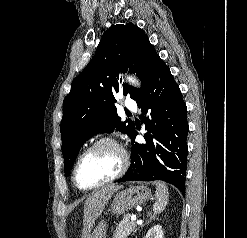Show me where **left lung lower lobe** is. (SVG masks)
<instances>
[{
	"label": "left lung lower lobe",
	"mask_w": 247,
	"mask_h": 238,
	"mask_svg": "<svg viewBox=\"0 0 247 238\" xmlns=\"http://www.w3.org/2000/svg\"><path fill=\"white\" fill-rule=\"evenodd\" d=\"M136 102L143 114L148 110L150 112L148 117H143L148 131L144 134L146 143L135 142V128L130 136L131 165L118 182L162 180L183 192L188 153L187 108L178 85L163 61Z\"/></svg>",
	"instance_id": "obj_1"
}]
</instances>
